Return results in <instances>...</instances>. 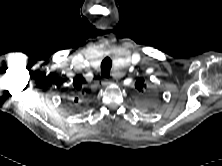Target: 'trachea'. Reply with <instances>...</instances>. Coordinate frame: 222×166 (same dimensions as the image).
<instances>
[{"mask_svg":"<svg viewBox=\"0 0 222 166\" xmlns=\"http://www.w3.org/2000/svg\"><path fill=\"white\" fill-rule=\"evenodd\" d=\"M111 67H112V60L110 59V57L104 58V60L101 63V75H102V77L109 78Z\"/></svg>","mask_w":222,"mask_h":166,"instance_id":"3493384b","label":"trachea"}]
</instances>
